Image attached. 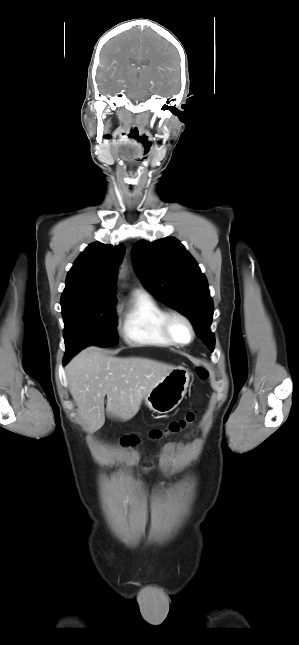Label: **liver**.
Returning a JSON list of instances; mask_svg holds the SVG:
<instances>
[{
  "instance_id": "1",
  "label": "liver",
  "mask_w": 299,
  "mask_h": 645,
  "mask_svg": "<svg viewBox=\"0 0 299 645\" xmlns=\"http://www.w3.org/2000/svg\"><path fill=\"white\" fill-rule=\"evenodd\" d=\"M175 369L147 358L107 356L101 348L82 350L66 366L70 393L89 433L105 423L106 413L122 421L132 419L145 395Z\"/></svg>"
}]
</instances>
